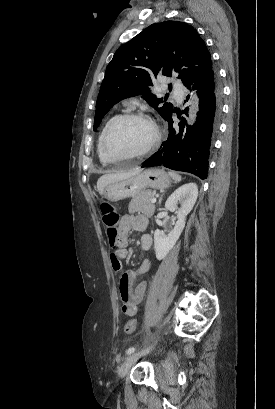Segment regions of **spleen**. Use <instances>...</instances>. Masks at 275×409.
<instances>
[{
	"label": "spleen",
	"mask_w": 275,
	"mask_h": 409,
	"mask_svg": "<svg viewBox=\"0 0 275 409\" xmlns=\"http://www.w3.org/2000/svg\"><path fill=\"white\" fill-rule=\"evenodd\" d=\"M171 178H173V180H175V182H179V180H181V176L180 174H177V172H169Z\"/></svg>",
	"instance_id": "1"
}]
</instances>
